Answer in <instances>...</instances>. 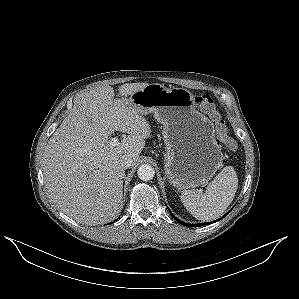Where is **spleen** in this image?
Listing matches in <instances>:
<instances>
[{
  "instance_id": "obj_1",
  "label": "spleen",
  "mask_w": 299,
  "mask_h": 299,
  "mask_svg": "<svg viewBox=\"0 0 299 299\" xmlns=\"http://www.w3.org/2000/svg\"><path fill=\"white\" fill-rule=\"evenodd\" d=\"M238 188V178L232 166H226L209 183L204 193L184 190L180 199L196 219L211 221L221 216L232 203Z\"/></svg>"
}]
</instances>
